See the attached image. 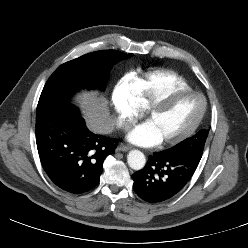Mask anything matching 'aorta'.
I'll use <instances>...</instances> for the list:
<instances>
[{
	"instance_id": "obj_1",
	"label": "aorta",
	"mask_w": 248,
	"mask_h": 248,
	"mask_svg": "<svg viewBox=\"0 0 248 248\" xmlns=\"http://www.w3.org/2000/svg\"><path fill=\"white\" fill-rule=\"evenodd\" d=\"M127 162L133 170H141L146 163L145 155L139 150H131L127 155Z\"/></svg>"
}]
</instances>
